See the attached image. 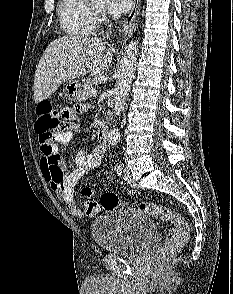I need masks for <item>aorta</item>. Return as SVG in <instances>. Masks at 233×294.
<instances>
[{
  "label": "aorta",
  "mask_w": 233,
  "mask_h": 294,
  "mask_svg": "<svg viewBox=\"0 0 233 294\" xmlns=\"http://www.w3.org/2000/svg\"><path fill=\"white\" fill-rule=\"evenodd\" d=\"M91 2H103L105 0H90ZM138 57V43L131 41L125 48L117 72L116 84L114 89L115 115L120 116L124 110V103L127 99L131 83L133 81ZM108 141L111 145H116L120 140L119 129L115 126L108 133Z\"/></svg>",
  "instance_id": "obj_1"
}]
</instances>
